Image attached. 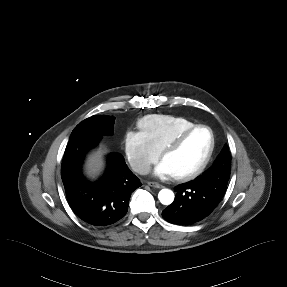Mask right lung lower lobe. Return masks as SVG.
I'll list each match as a JSON object with an SVG mask.
<instances>
[{
	"label": "right lung lower lobe",
	"instance_id": "1",
	"mask_svg": "<svg viewBox=\"0 0 287 287\" xmlns=\"http://www.w3.org/2000/svg\"><path fill=\"white\" fill-rule=\"evenodd\" d=\"M102 135L85 133L70 137L62 165L61 178L72 211L92 226H107L120 220L128 210L132 192L141 186L121 155L107 157L106 171L99 180L88 181L82 173L85 154Z\"/></svg>",
	"mask_w": 287,
	"mask_h": 287
}]
</instances>
